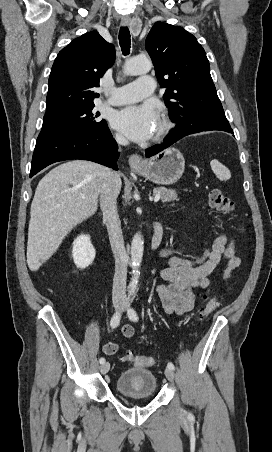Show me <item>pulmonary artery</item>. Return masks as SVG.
<instances>
[{"label": "pulmonary artery", "mask_w": 272, "mask_h": 452, "mask_svg": "<svg viewBox=\"0 0 272 452\" xmlns=\"http://www.w3.org/2000/svg\"><path fill=\"white\" fill-rule=\"evenodd\" d=\"M154 89L155 81L152 77H141L137 81L113 89L107 103L118 106L137 102L152 95Z\"/></svg>", "instance_id": "1"}]
</instances>
